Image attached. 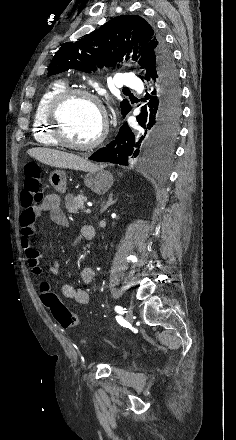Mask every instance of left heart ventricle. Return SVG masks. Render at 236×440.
<instances>
[{"mask_svg":"<svg viewBox=\"0 0 236 440\" xmlns=\"http://www.w3.org/2000/svg\"><path fill=\"white\" fill-rule=\"evenodd\" d=\"M65 137L73 143L85 144L92 141L101 129L99 109L89 100L75 97L61 110Z\"/></svg>","mask_w":236,"mask_h":440,"instance_id":"obj_1","label":"left heart ventricle"}]
</instances>
